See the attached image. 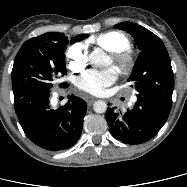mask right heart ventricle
Wrapping results in <instances>:
<instances>
[{"label": "right heart ventricle", "instance_id": "obj_1", "mask_svg": "<svg viewBox=\"0 0 187 187\" xmlns=\"http://www.w3.org/2000/svg\"><path fill=\"white\" fill-rule=\"evenodd\" d=\"M93 43L108 52L128 51L131 48L129 38L121 32L109 31L97 35L93 38Z\"/></svg>", "mask_w": 187, "mask_h": 187}]
</instances>
